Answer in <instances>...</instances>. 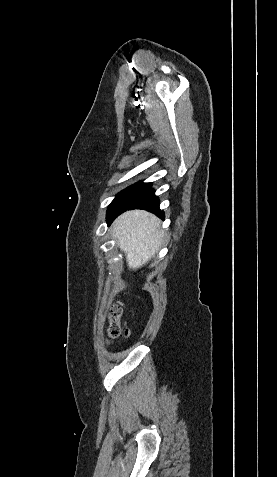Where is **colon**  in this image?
I'll list each match as a JSON object with an SVG mask.
<instances>
[{
    "instance_id": "1",
    "label": "colon",
    "mask_w": 277,
    "mask_h": 477,
    "mask_svg": "<svg viewBox=\"0 0 277 477\" xmlns=\"http://www.w3.org/2000/svg\"><path fill=\"white\" fill-rule=\"evenodd\" d=\"M120 317H121V310L120 308H113L109 313V326L107 330V334L109 339H115L122 334V329L120 326ZM124 335H129V330L125 329Z\"/></svg>"
}]
</instances>
